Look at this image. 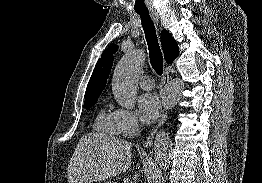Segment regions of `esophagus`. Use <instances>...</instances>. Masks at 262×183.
I'll list each match as a JSON object with an SVG mask.
<instances>
[{
	"label": "esophagus",
	"instance_id": "obj_1",
	"mask_svg": "<svg viewBox=\"0 0 262 183\" xmlns=\"http://www.w3.org/2000/svg\"><path fill=\"white\" fill-rule=\"evenodd\" d=\"M151 16H152L153 20L158 24V22H159L158 14L156 12L152 11ZM168 82H169V73H168V71L165 70L164 73H163V77H162V90L165 89ZM167 118H168L167 112L163 111L161 116H160L158 125L156 126L154 131L145 140L144 145H143L144 148H148V147L152 146L155 133L167 121Z\"/></svg>",
	"mask_w": 262,
	"mask_h": 183
}]
</instances>
